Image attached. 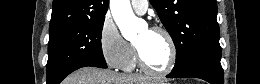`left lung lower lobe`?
Masks as SVG:
<instances>
[{"mask_svg":"<svg viewBox=\"0 0 260 84\" xmlns=\"http://www.w3.org/2000/svg\"><path fill=\"white\" fill-rule=\"evenodd\" d=\"M221 48H210L195 54L184 66L172 70L168 78L195 77L211 84H224L223 69L220 64Z\"/></svg>","mask_w":260,"mask_h":84,"instance_id":"0a47b994","label":"left lung lower lobe"}]
</instances>
